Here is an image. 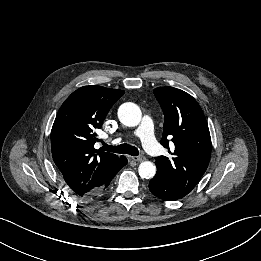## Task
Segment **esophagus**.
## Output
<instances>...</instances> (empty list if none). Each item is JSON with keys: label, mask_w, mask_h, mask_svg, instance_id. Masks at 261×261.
Returning <instances> with one entry per match:
<instances>
[{"label": "esophagus", "mask_w": 261, "mask_h": 261, "mask_svg": "<svg viewBox=\"0 0 261 261\" xmlns=\"http://www.w3.org/2000/svg\"><path fill=\"white\" fill-rule=\"evenodd\" d=\"M132 160L137 161V162H141L143 160H145L144 156H132L130 157Z\"/></svg>", "instance_id": "obj_1"}]
</instances>
